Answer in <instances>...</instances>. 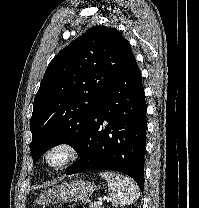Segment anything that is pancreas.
I'll use <instances>...</instances> for the list:
<instances>
[{
    "instance_id": "cf45deb5",
    "label": "pancreas",
    "mask_w": 199,
    "mask_h": 208,
    "mask_svg": "<svg viewBox=\"0 0 199 208\" xmlns=\"http://www.w3.org/2000/svg\"><path fill=\"white\" fill-rule=\"evenodd\" d=\"M89 208H102L100 205H98L97 203L95 202H90L89 203Z\"/></svg>"
}]
</instances>
